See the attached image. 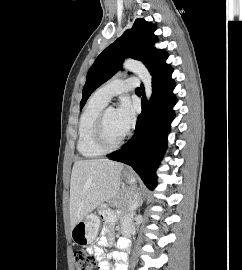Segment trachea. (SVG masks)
I'll return each instance as SVG.
<instances>
[{"mask_svg":"<svg viewBox=\"0 0 242 270\" xmlns=\"http://www.w3.org/2000/svg\"><path fill=\"white\" fill-rule=\"evenodd\" d=\"M135 92H141L140 88H136Z\"/></svg>","mask_w":242,"mask_h":270,"instance_id":"3493384b","label":"trachea"}]
</instances>
